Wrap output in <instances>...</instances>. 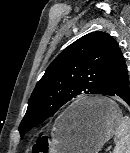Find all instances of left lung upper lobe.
Returning a JSON list of instances; mask_svg holds the SVG:
<instances>
[{"instance_id":"obj_1","label":"left lung upper lobe","mask_w":130,"mask_h":153,"mask_svg":"<svg viewBox=\"0 0 130 153\" xmlns=\"http://www.w3.org/2000/svg\"><path fill=\"white\" fill-rule=\"evenodd\" d=\"M120 49L107 33H89L64 49L48 66L28 101L20 123L23 136L82 94H99Z\"/></svg>"}]
</instances>
